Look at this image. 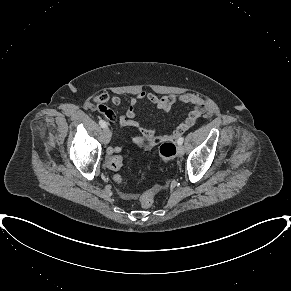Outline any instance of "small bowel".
Here are the masks:
<instances>
[{
    "label": "small bowel",
    "instance_id": "c3829d8e",
    "mask_svg": "<svg viewBox=\"0 0 291 291\" xmlns=\"http://www.w3.org/2000/svg\"><path fill=\"white\" fill-rule=\"evenodd\" d=\"M143 100H148L156 108L165 112H168L177 101L190 105L192 108L186 119L181 122L171 134L156 133L154 130H148L144 128L143 125L135 119L137 116L135 107L140 101ZM95 101L97 102L98 110L104 114L108 120L112 122L118 121L122 126L133 127L140 131L141 135H135L131 137V140L135 144H141L144 141H147L151 144L166 141H176L181 134L195 125V123L206 112L207 109V105L204 99L193 93H186L179 96H158L152 92L140 91L129 100L128 107L117 118L108 104L112 103L115 106H119L121 104L120 97H110L107 94H100L95 98ZM121 150V146H111L108 148V155L110 156L112 154L119 153ZM122 197L125 199H131L134 198V195L129 193H122Z\"/></svg>",
    "mask_w": 291,
    "mask_h": 291
}]
</instances>
